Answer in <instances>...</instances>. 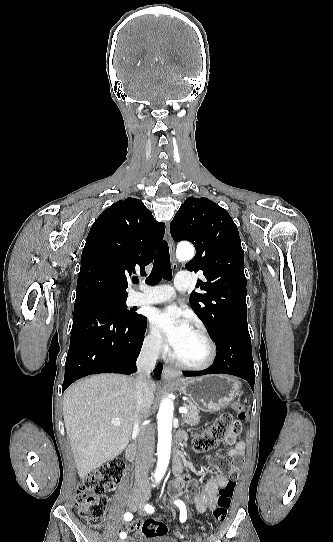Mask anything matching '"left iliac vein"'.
Returning <instances> with one entry per match:
<instances>
[{
    "label": "left iliac vein",
    "mask_w": 333,
    "mask_h": 542,
    "mask_svg": "<svg viewBox=\"0 0 333 542\" xmlns=\"http://www.w3.org/2000/svg\"><path fill=\"white\" fill-rule=\"evenodd\" d=\"M147 500H148V498L145 497V498H144V501H147ZM138 512H139V514L142 515V516L145 515V511H144V509H143L142 506H140V507L138 508Z\"/></svg>",
    "instance_id": "4c4485c4"
}]
</instances>
